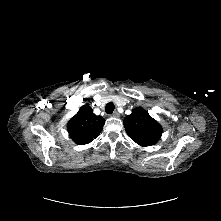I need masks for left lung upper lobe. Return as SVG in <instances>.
<instances>
[{
  "label": "left lung upper lobe",
  "instance_id": "5c2ea615",
  "mask_svg": "<svg viewBox=\"0 0 221 221\" xmlns=\"http://www.w3.org/2000/svg\"><path fill=\"white\" fill-rule=\"evenodd\" d=\"M123 124L128 136L140 146L156 144L162 134L161 125L141 107L133 109Z\"/></svg>",
  "mask_w": 221,
  "mask_h": 221
}]
</instances>
